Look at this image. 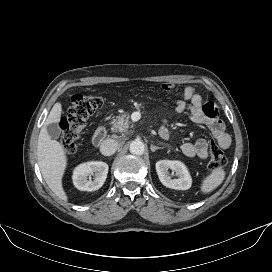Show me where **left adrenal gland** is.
I'll return each mask as SVG.
<instances>
[{"instance_id": "obj_1", "label": "left adrenal gland", "mask_w": 272, "mask_h": 272, "mask_svg": "<svg viewBox=\"0 0 272 272\" xmlns=\"http://www.w3.org/2000/svg\"><path fill=\"white\" fill-rule=\"evenodd\" d=\"M150 149H151L152 152H155L156 150L163 149V147H158V146L151 145Z\"/></svg>"}]
</instances>
